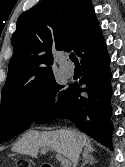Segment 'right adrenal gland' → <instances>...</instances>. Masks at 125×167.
Returning <instances> with one entry per match:
<instances>
[{"instance_id":"right-adrenal-gland-1","label":"right adrenal gland","mask_w":125,"mask_h":167,"mask_svg":"<svg viewBox=\"0 0 125 167\" xmlns=\"http://www.w3.org/2000/svg\"><path fill=\"white\" fill-rule=\"evenodd\" d=\"M95 161L94 157L89 154H83V163L81 167H84L86 164H93Z\"/></svg>"}]
</instances>
